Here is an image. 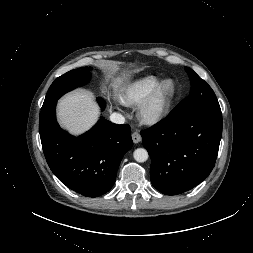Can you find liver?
<instances>
[{
	"mask_svg": "<svg viewBox=\"0 0 253 253\" xmlns=\"http://www.w3.org/2000/svg\"><path fill=\"white\" fill-rule=\"evenodd\" d=\"M57 116L61 126L77 136L97 122L99 108L89 93L75 91L59 100Z\"/></svg>",
	"mask_w": 253,
	"mask_h": 253,
	"instance_id": "1",
	"label": "liver"
}]
</instances>
